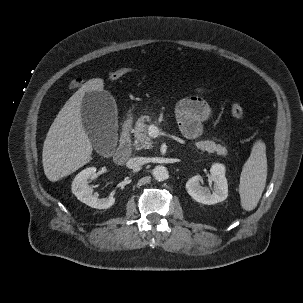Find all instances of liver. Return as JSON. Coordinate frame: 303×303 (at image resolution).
I'll use <instances>...</instances> for the list:
<instances>
[{"mask_svg": "<svg viewBox=\"0 0 303 303\" xmlns=\"http://www.w3.org/2000/svg\"><path fill=\"white\" fill-rule=\"evenodd\" d=\"M103 87L101 78L84 83L52 123L42 151L44 173L51 182L70 175L92 159L93 148L82 124L81 106L85 93L102 91Z\"/></svg>", "mask_w": 303, "mask_h": 303, "instance_id": "6515ba94", "label": "liver"}]
</instances>
